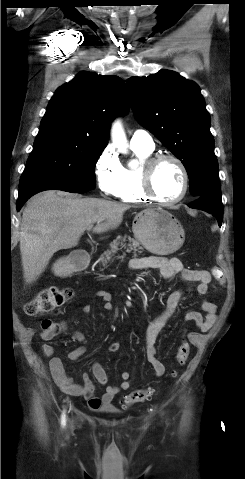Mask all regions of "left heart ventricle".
I'll use <instances>...</instances> for the list:
<instances>
[{
    "instance_id": "left-heart-ventricle-1",
    "label": "left heart ventricle",
    "mask_w": 245,
    "mask_h": 479,
    "mask_svg": "<svg viewBox=\"0 0 245 479\" xmlns=\"http://www.w3.org/2000/svg\"><path fill=\"white\" fill-rule=\"evenodd\" d=\"M154 189L163 200L177 198L183 186V177L179 167L171 161L162 162L154 174Z\"/></svg>"
}]
</instances>
